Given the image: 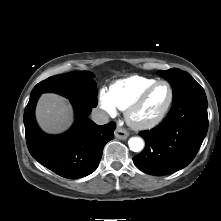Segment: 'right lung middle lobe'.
<instances>
[{
	"label": "right lung middle lobe",
	"instance_id": "obj_1",
	"mask_svg": "<svg viewBox=\"0 0 221 221\" xmlns=\"http://www.w3.org/2000/svg\"><path fill=\"white\" fill-rule=\"evenodd\" d=\"M93 74L88 71H73L56 75L38 83L31 96L44 92H55L74 102L95 107L97 105L96 82Z\"/></svg>",
	"mask_w": 221,
	"mask_h": 221
}]
</instances>
